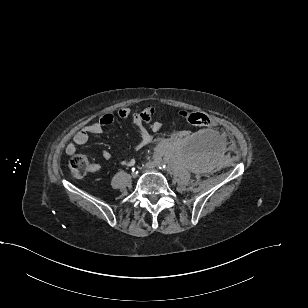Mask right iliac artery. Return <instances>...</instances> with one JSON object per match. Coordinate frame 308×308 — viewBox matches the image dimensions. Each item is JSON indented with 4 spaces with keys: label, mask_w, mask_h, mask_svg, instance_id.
I'll return each mask as SVG.
<instances>
[{
    "label": "right iliac artery",
    "mask_w": 308,
    "mask_h": 308,
    "mask_svg": "<svg viewBox=\"0 0 308 308\" xmlns=\"http://www.w3.org/2000/svg\"><path fill=\"white\" fill-rule=\"evenodd\" d=\"M135 170H136L135 168H132V171H133V172H135ZM136 173H138V171H136Z\"/></svg>",
    "instance_id": "obj_1"
}]
</instances>
